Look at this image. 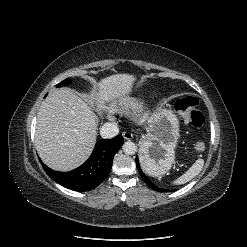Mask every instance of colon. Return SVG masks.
<instances>
[{"label":"colon","mask_w":247,"mask_h":247,"mask_svg":"<svg viewBox=\"0 0 247 247\" xmlns=\"http://www.w3.org/2000/svg\"><path fill=\"white\" fill-rule=\"evenodd\" d=\"M198 104L199 101L196 97L187 96L178 99L175 108L190 125L200 127L204 123V115L198 108ZM205 148L206 145L202 140H197L194 143V150L196 152H202Z\"/></svg>","instance_id":"colon-1"}]
</instances>
